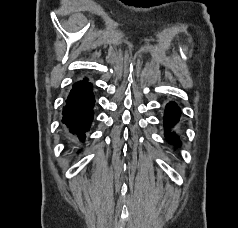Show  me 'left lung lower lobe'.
<instances>
[{"mask_svg": "<svg viewBox=\"0 0 238 228\" xmlns=\"http://www.w3.org/2000/svg\"><path fill=\"white\" fill-rule=\"evenodd\" d=\"M179 113H180V109L174 102H170L166 106L165 117H164L165 130L170 129L177 124V122L179 121ZM165 137L172 144H175V145L180 144L175 133L166 131Z\"/></svg>", "mask_w": 238, "mask_h": 228, "instance_id": "left-lung-lower-lobe-1", "label": "left lung lower lobe"}]
</instances>
